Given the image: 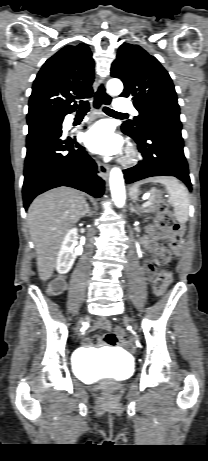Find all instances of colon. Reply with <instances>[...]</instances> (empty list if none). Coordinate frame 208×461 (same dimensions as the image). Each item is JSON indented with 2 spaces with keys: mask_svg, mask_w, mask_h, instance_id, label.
Returning a JSON list of instances; mask_svg holds the SVG:
<instances>
[{
  "mask_svg": "<svg viewBox=\"0 0 208 461\" xmlns=\"http://www.w3.org/2000/svg\"><path fill=\"white\" fill-rule=\"evenodd\" d=\"M156 224L159 228L164 229L167 231L169 235V244L167 247L162 248L154 259L147 262L148 266L160 267L166 264L171 257V253L174 249H177L180 245V236H181V226L174 220L172 215L162 209L156 217ZM172 281V275L169 271H162L160 272L153 282V290L154 292L161 296L165 293L168 286ZM63 287V284L54 282L51 285L52 291L60 290ZM115 332L118 333V336L121 337V342L124 340V334L120 328H115ZM120 346V344H119Z\"/></svg>",
  "mask_w": 208,
  "mask_h": 461,
  "instance_id": "1",
  "label": "colon"
}]
</instances>
